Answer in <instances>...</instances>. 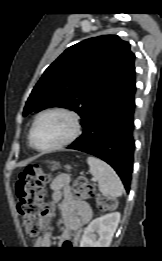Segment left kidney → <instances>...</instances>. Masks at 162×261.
<instances>
[{
  "label": "left kidney",
  "mask_w": 162,
  "mask_h": 261,
  "mask_svg": "<svg viewBox=\"0 0 162 261\" xmlns=\"http://www.w3.org/2000/svg\"><path fill=\"white\" fill-rule=\"evenodd\" d=\"M120 213L111 212L90 222L85 228L80 240L82 248L109 247L117 226L120 222Z\"/></svg>",
  "instance_id": "obj_1"
}]
</instances>
